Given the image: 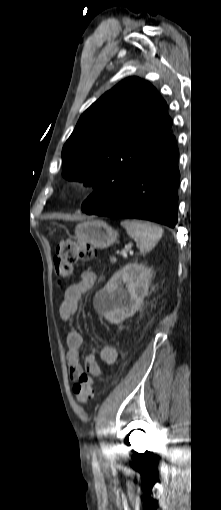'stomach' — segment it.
I'll list each match as a JSON object with an SVG mask.
<instances>
[{
	"mask_svg": "<svg viewBox=\"0 0 221 510\" xmlns=\"http://www.w3.org/2000/svg\"><path fill=\"white\" fill-rule=\"evenodd\" d=\"M75 238L103 249L113 245L118 239V232L101 220L79 223L75 228Z\"/></svg>",
	"mask_w": 221,
	"mask_h": 510,
	"instance_id": "1",
	"label": "stomach"
}]
</instances>
